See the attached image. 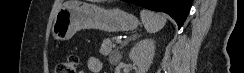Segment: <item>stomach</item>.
<instances>
[{"mask_svg":"<svg viewBox=\"0 0 244 73\" xmlns=\"http://www.w3.org/2000/svg\"><path fill=\"white\" fill-rule=\"evenodd\" d=\"M139 20L120 9H105L80 0L66 1L57 12L52 35L57 41L69 40L80 29H98L108 33L132 31Z\"/></svg>","mask_w":244,"mask_h":73,"instance_id":"stomach-1","label":"stomach"}]
</instances>
